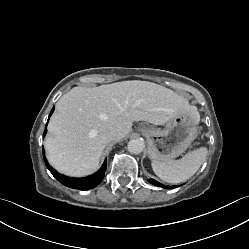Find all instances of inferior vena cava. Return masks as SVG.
Listing matches in <instances>:
<instances>
[{"label":"inferior vena cava","instance_id":"602c4592","mask_svg":"<svg viewBox=\"0 0 249 249\" xmlns=\"http://www.w3.org/2000/svg\"><path fill=\"white\" fill-rule=\"evenodd\" d=\"M103 135L109 141L114 140V139H116L118 137V133L114 129H107L103 133Z\"/></svg>","mask_w":249,"mask_h":249}]
</instances>
